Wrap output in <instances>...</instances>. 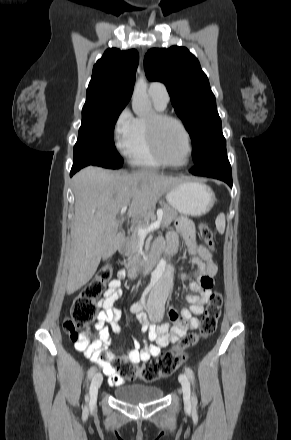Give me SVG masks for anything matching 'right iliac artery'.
I'll return each instance as SVG.
<instances>
[{
	"label": "right iliac artery",
	"instance_id": "82829eb1",
	"mask_svg": "<svg viewBox=\"0 0 291 440\" xmlns=\"http://www.w3.org/2000/svg\"><path fill=\"white\" fill-rule=\"evenodd\" d=\"M131 312L132 313H136L138 310H139V307H138V305L137 304H133L132 306H131ZM96 372V367L95 366H92L89 370H88V378H91L93 375H94V373ZM85 413H88V409L87 408H85Z\"/></svg>",
	"mask_w": 291,
	"mask_h": 440
}]
</instances>
